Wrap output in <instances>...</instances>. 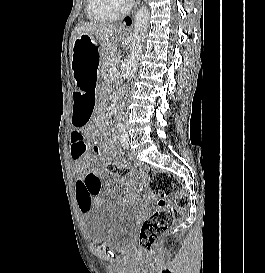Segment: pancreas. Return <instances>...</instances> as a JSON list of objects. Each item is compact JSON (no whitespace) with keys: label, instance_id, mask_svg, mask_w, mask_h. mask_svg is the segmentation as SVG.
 Listing matches in <instances>:
<instances>
[{"label":"pancreas","instance_id":"1","mask_svg":"<svg viewBox=\"0 0 265 273\" xmlns=\"http://www.w3.org/2000/svg\"><path fill=\"white\" fill-rule=\"evenodd\" d=\"M117 52L111 51L108 54L105 55L103 58L101 64H100V75L103 77H106L108 75V70L115 66L117 63Z\"/></svg>","mask_w":265,"mask_h":273}]
</instances>
